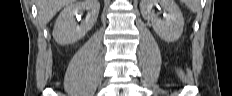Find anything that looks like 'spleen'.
Instances as JSON below:
<instances>
[{"label":"spleen","mask_w":232,"mask_h":96,"mask_svg":"<svg viewBox=\"0 0 232 96\" xmlns=\"http://www.w3.org/2000/svg\"><path fill=\"white\" fill-rule=\"evenodd\" d=\"M184 2L194 13L200 8L199 0H185Z\"/></svg>","instance_id":"1"}]
</instances>
